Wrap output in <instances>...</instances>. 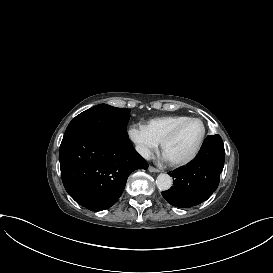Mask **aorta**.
<instances>
[{"label":"aorta","instance_id":"762f6f07","mask_svg":"<svg viewBox=\"0 0 273 273\" xmlns=\"http://www.w3.org/2000/svg\"><path fill=\"white\" fill-rule=\"evenodd\" d=\"M173 181L168 174H159L156 179L157 188L161 191H167L172 187Z\"/></svg>","mask_w":273,"mask_h":273}]
</instances>
